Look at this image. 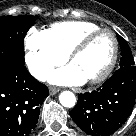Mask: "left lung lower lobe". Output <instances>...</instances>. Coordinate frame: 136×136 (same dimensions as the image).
Here are the masks:
<instances>
[{
	"label": "left lung lower lobe",
	"instance_id": "obj_1",
	"mask_svg": "<svg viewBox=\"0 0 136 136\" xmlns=\"http://www.w3.org/2000/svg\"><path fill=\"white\" fill-rule=\"evenodd\" d=\"M135 95L136 66L123 67L96 91L79 94L70 116L87 134L107 136L126 121Z\"/></svg>",
	"mask_w": 136,
	"mask_h": 136
}]
</instances>
